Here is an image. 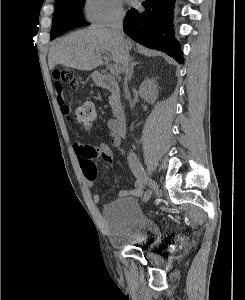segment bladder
I'll return each instance as SVG.
<instances>
[{"label":"bladder","instance_id":"31cf9c89","mask_svg":"<svg viewBox=\"0 0 245 300\" xmlns=\"http://www.w3.org/2000/svg\"><path fill=\"white\" fill-rule=\"evenodd\" d=\"M102 216L109 241L115 247L154 244L162 237L159 223L134 197L120 196L107 203Z\"/></svg>","mask_w":245,"mask_h":300}]
</instances>
